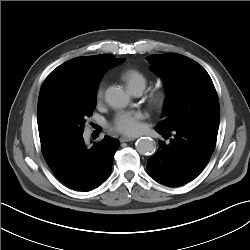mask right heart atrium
<instances>
[{"instance_id":"d8ad5b80","label":"right heart atrium","mask_w":250,"mask_h":250,"mask_svg":"<svg viewBox=\"0 0 250 250\" xmlns=\"http://www.w3.org/2000/svg\"><path fill=\"white\" fill-rule=\"evenodd\" d=\"M104 88H105V84L104 82H101L96 90V99L97 101H101L104 95Z\"/></svg>"}]
</instances>
